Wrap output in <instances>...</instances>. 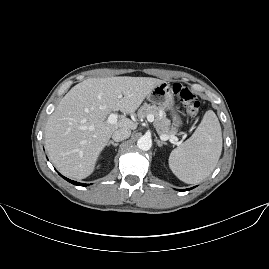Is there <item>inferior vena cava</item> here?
<instances>
[{
	"label": "inferior vena cava",
	"mask_w": 269,
	"mask_h": 269,
	"mask_svg": "<svg viewBox=\"0 0 269 269\" xmlns=\"http://www.w3.org/2000/svg\"><path fill=\"white\" fill-rule=\"evenodd\" d=\"M130 135H131L130 129L120 128L113 133L112 138L114 141L118 142V141L128 139Z\"/></svg>",
	"instance_id": "inferior-vena-cava-1"
}]
</instances>
